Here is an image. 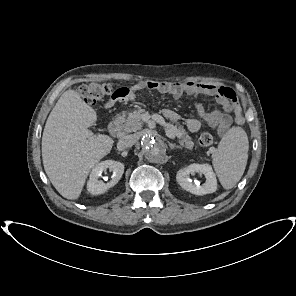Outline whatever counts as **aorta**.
<instances>
[{"label": "aorta", "mask_w": 296, "mask_h": 296, "mask_svg": "<svg viewBox=\"0 0 296 296\" xmlns=\"http://www.w3.org/2000/svg\"><path fill=\"white\" fill-rule=\"evenodd\" d=\"M141 147L143 149L145 158L152 163L163 161L165 157V148L157 142L152 136L144 135L141 140Z\"/></svg>", "instance_id": "aorta-1"}]
</instances>
